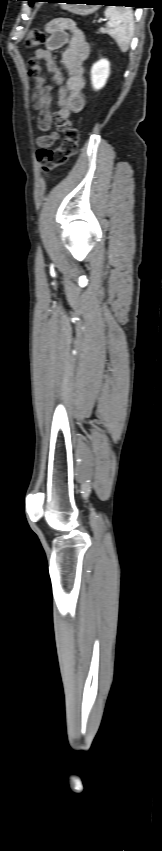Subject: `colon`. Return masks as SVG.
<instances>
[{
  "instance_id": "5ec220e1",
  "label": "colon",
  "mask_w": 162,
  "mask_h": 851,
  "mask_svg": "<svg viewBox=\"0 0 162 851\" xmlns=\"http://www.w3.org/2000/svg\"><path fill=\"white\" fill-rule=\"evenodd\" d=\"M46 40L44 31L38 28L31 29L26 38V46L34 48ZM63 139L56 148L41 147L37 151V159L44 173H48L54 168L63 165L77 151L79 132L77 128L69 125L61 126Z\"/></svg>"
}]
</instances>
